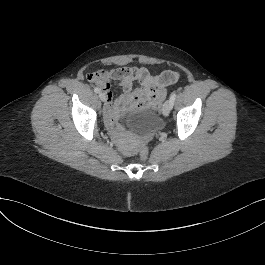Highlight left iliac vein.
Listing matches in <instances>:
<instances>
[{"label": "left iliac vein", "instance_id": "obj_1", "mask_svg": "<svg viewBox=\"0 0 265 265\" xmlns=\"http://www.w3.org/2000/svg\"><path fill=\"white\" fill-rule=\"evenodd\" d=\"M170 111H171V104L170 101L168 100L163 105L162 113L166 117L169 115Z\"/></svg>", "mask_w": 265, "mask_h": 265}]
</instances>
